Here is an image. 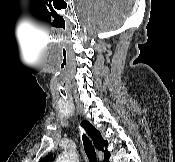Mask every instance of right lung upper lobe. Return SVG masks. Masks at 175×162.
Here are the masks:
<instances>
[{
    "instance_id": "cb5924a9",
    "label": "right lung upper lobe",
    "mask_w": 175,
    "mask_h": 162,
    "mask_svg": "<svg viewBox=\"0 0 175 162\" xmlns=\"http://www.w3.org/2000/svg\"><path fill=\"white\" fill-rule=\"evenodd\" d=\"M82 126L88 133L89 137L91 138L94 146L99 149L103 150L105 146L106 149L104 151L105 159L106 160L110 156V152L107 151L108 142L104 140L98 130H96L88 121H83ZM40 162H53V155H48L44 157Z\"/></svg>"
}]
</instances>
